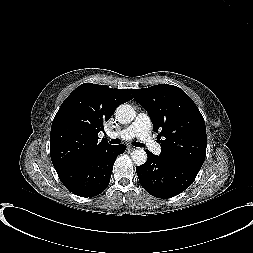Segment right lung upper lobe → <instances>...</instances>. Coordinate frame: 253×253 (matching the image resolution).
<instances>
[{"label":"right lung upper lobe","mask_w":253,"mask_h":253,"mask_svg":"<svg viewBox=\"0 0 253 253\" xmlns=\"http://www.w3.org/2000/svg\"><path fill=\"white\" fill-rule=\"evenodd\" d=\"M128 89L84 83L62 103L51 127L50 156L56 172L76 166L110 146L98 133L116 108L132 99Z\"/></svg>","instance_id":"1"}]
</instances>
